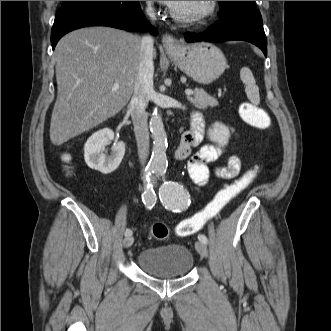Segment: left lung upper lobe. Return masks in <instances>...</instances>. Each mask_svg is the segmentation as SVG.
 <instances>
[{
  "instance_id": "obj_1",
  "label": "left lung upper lobe",
  "mask_w": 331,
  "mask_h": 331,
  "mask_svg": "<svg viewBox=\"0 0 331 331\" xmlns=\"http://www.w3.org/2000/svg\"><path fill=\"white\" fill-rule=\"evenodd\" d=\"M220 4L219 17L234 13L249 12L257 10L254 1H218Z\"/></svg>"
}]
</instances>
